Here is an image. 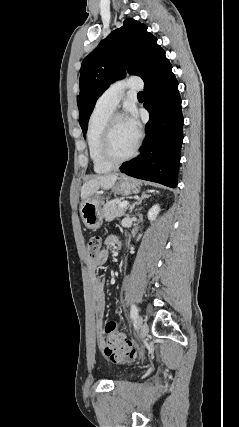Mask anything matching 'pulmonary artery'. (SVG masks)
Wrapping results in <instances>:
<instances>
[{"instance_id": "pulmonary-artery-1", "label": "pulmonary artery", "mask_w": 239, "mask_h": 427, "mask_svg": "<svg viewBox=\"0 0 239 427\" xmlns=\"http://www.w3.org/2000/svg\"><path fill=\"white\" fill-rule=\"evenodd\" d=\"M140 91L143 89V83L138 77H130L112 84L97 100L96 107L113 111L120 102L124 91Z\"/></svg>"}]
</instances>
